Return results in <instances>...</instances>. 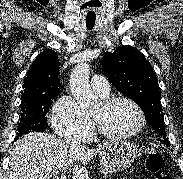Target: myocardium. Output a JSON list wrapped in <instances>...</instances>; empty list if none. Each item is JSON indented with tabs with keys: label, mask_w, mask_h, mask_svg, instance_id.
I'll return each mask as SVG.
<instances>
[{
	"label": "myocardium",
	"mask_w": 183,
	"mask_h": 179,
	"mask_svg": "<svg viewBox=\"0 0 183 179\" xmlns=\"http://www.w3.org/2000/svg\"><path fill=\"white\" fill-rule=\"evenodd\" d=\"M119 102H127L130 105H132L134 107V109L137 111L138 116H139V124L138 126L130 131V132H126V133H112L109 132L107 130H105L104 128L101 127V125L99 124V122L94 119L95 122V126L97 131L104 137L106 138H110V139H126V138H131L133 136H136L137 134H139L145 127L146 125V116L144 113V110L142 109V107L132 98L128 97V96H113V97H109L103 100L102 104L109 108L112 107L113 105L119 103Z\"/></svg>",
	"instance_id": "f54148a6"
}]
</instances>
